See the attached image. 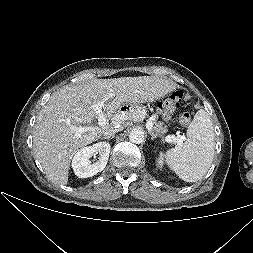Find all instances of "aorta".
<instances>
[{"label":"aorta","instance_id":"1","mask_svg":"<svg viewBox=\"0 0 253 253\" xmlns=\"http://www.w3.org/2000/svg\"><path fill=\"white\" fill-rule=\"evenodd\" d=\"M144 137V132L141 129H133L129 134V140L135 144H141Z\"/></svg>","mask_w":253,"mask_h":253}]
</instances>
